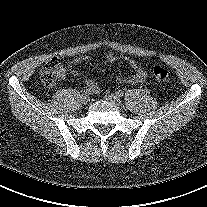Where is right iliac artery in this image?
<instances>
[{
    "label": "right iliac artery",
    "instance_id": "obj_1",
    "mask_svg": "<svg viewBox=\"0 0 207 207\" xmlns=\"http://www.w3.org/2000/svg\"><path fill=\"white\" fill-rule=\"evenodd\" d=\"M84 94H85V95H90V94H91V90H90L89 88H86V89L84 90Z\"/></svg>",
    "mask_w": 207,
    "mask_h": 207
}]
</instances>
